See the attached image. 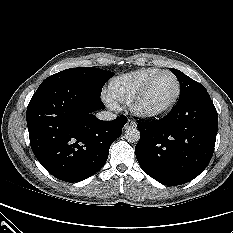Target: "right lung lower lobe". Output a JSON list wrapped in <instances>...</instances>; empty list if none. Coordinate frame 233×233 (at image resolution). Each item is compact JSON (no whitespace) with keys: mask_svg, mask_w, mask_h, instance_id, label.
<instances>
[{"mask_svg":"<svg viewBox=\"0 0 233 233\" xmlns=\"http://www.w3.org/2000/svg\"><path fill=\"white\" fill-rule=\"evenodd\" d=\"M104 108L99 95L67 83L33 95L26 116L30 145L51 175L79 182L105 164L127 118L104 122L92 114Z\"/></svg>","mask_w":233,"mask_h":233,"instance_id":"98d812e1","label":"right lung lower lobe"}]
</instances>
